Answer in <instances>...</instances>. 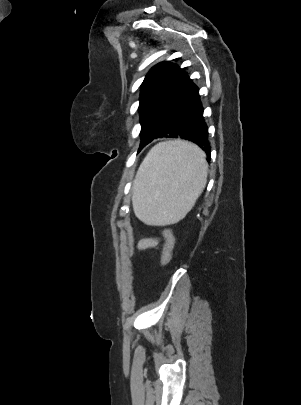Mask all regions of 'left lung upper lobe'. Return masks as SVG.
I'll use <instances>...</instances> for the list:
<instances>
[{"label":"left lung upper lobe","mask_w":301,"mask_h":405,"mask_svg":"<svg viewBox=\"0 0 301 405\" xmlns=\"http://www.w3.org/2000/svg\"><path fill=\"white\" fill-rule=\"evenodd\" d=\"M190 82L176 64L161 62L146 75L140 93L141 138L158 130L174 104L183 96Z\"/></svg>","instance_id":"5c2ea615"}]
</instances>
